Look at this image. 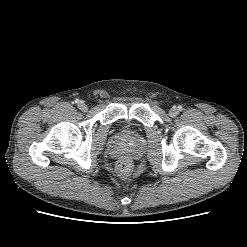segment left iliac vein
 <instances>
[{"label": "left iliac vein", "instance_id": "left-iliac-vein-1", "mask_svg": "<svg viewBox=\"0 0 247 247\" xmlns=\"http://www.w3.org/2000/svg\"><path fill=\"white\" fill-rule=\"evenodd\" d=\"M178 109H176V108H171L170 110H169V116H171V117H176L177 115H178Z\"/></svg>", "mask_w": 247, "mask_h": 247}]
</instances>
